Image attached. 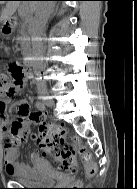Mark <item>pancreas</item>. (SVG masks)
Listing matches in <instances>:
<instances>
[{
  "mask_svg": "<svg viewBox=\"0 0 137 189\" xmlns=\"http://www.w3.org/2000/svg\"><path fill=\"white\" fill-rule=\"evenodd\" d=\"M17 40L21 42L22 46H25L27 41H28L27 35L24 31V25H22L21 30L19 31V35L17 37Z\"/></svg>",
  "mask_w": 137,
  "mask_h": 189,
  "instance_id": "cf45deb5",
  "label": "pancreas"
}]
</instances>
